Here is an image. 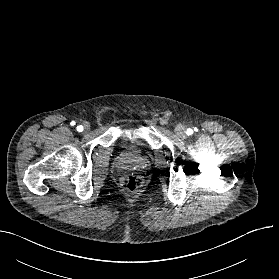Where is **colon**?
<instances>
[{"label": "colon", "instance_id": "colon-1", "mask_svg": "<svg viewBox=\"0 0 279 279\" xmlns=\"http://www.w3.org/2000/svg\"><path fill=\"white\" fill-rule=\"evenodd\" d=\"M120 184L128 192H136L142 187L143 180L139 176L128 175L120 180Z\"/></svg>", "mask_w": 279, "mask_h": 279}]
</instances>
